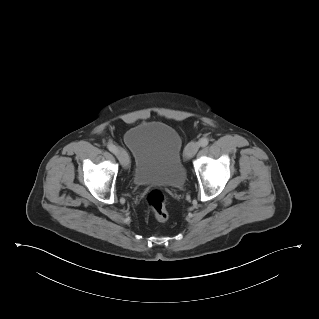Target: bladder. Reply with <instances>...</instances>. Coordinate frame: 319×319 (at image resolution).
I'll return each instance as SVG.
<instances>
[{
  "instance_id": "31cf9c89",
  "label": "bladder",
  "mask_w": 319,
  "mask_h": 319,
  "mask_svg": "<svg viewBox=\"0 0 319 319\" xmlns=\"http://www.w3.org/2000/svg\"><path fill=\"white\" fill-rule=\"evenodd\" d=\"M124 143L134 158L132 179L136 185H184L183 142L173 127L162 122L140 123L126 131Z\"/></svg>"
}]
</instances>
